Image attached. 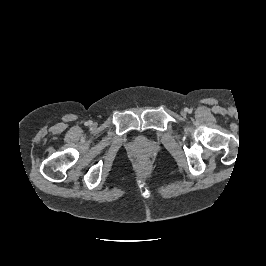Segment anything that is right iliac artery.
Instances as JSON below:
<instances>
[{"label":"right iliac artery","mask_w":266,"mask_h":266,"mask_svg":"<svg viewBox=\"0 0 266 266\" xmlns=\"http://www.w3.org/2000/svg\"><path fill=\"white\" fill-rule=\"evenodd\" d=\"M92 122L91 121H88L87 123H86V125H90Z\"/></svg>","instance_id":"1"}]
</instances>
